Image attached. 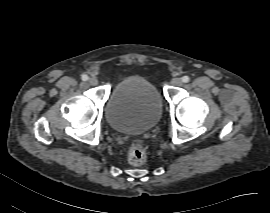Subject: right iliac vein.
I'll list each match as a JSON object with an SVG mask.
<instances>
[{
	"mask_svg": "<svg viewBox=\"0 0 270 213\" xmlns=\"http://www.w3.org/2000/svg\"><path fill=\"white\" fill-rule=\"evenodd\" d=\"M89 83H90V85H92V86H96V85L98 84V80H97L95 77H91V78L89 79Z\"/></svg>",
	"mask_w": 270,
	"mask_h": 213,
	"instance_id": "63e3f726",
	"label": "right iliac vein"
}]
</instances>
